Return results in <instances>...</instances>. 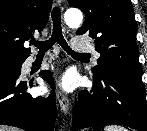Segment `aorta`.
I'll return each mask as SVG.
<instances>
[{"label":"aorta","mask_w":147,"mask_h":131,"mask_svg":"<svg viewBox=\"0 0 147 131\" xmlns=\"http://www.w3.org/2000/svg\"><path fill=\"white\" fill-rule=\"evenodd\" d=\"M66 24L70 27H78L82 23L83 15L78 9H69L64 15Z\"/></svg>","instance_id":"762f6f07"}]
</instances>
